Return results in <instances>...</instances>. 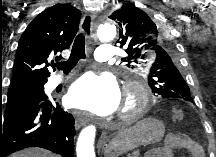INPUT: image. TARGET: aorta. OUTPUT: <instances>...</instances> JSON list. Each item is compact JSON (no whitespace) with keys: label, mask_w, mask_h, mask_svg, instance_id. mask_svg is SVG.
I'll use <instances>...</instances> for the list:
<instances>
[{"label":"aorta","mask_w":216,"mask_h":157,"mask_svg":"<svg viewBox=\"0 0 216 157\" xmlns=\"http://www.w3.org/2000/svg\"><path fill=\"white\" fill-rule=\"evenodd\" d=\"M97 35L101 41L113 40L116 36V27L114 24H103L99 26ZM95 134L96 128L93 125H89L81 131L76 146L77 157H95Z\"/></svg>","instance_id":"1"}]
</instances>
